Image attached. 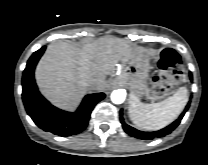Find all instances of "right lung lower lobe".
I'll return each instance as SVG.
<instances>
[{"mask_svg": "<svg viewBox=\"0 0 208 165\" xmlns=\"http://www.w3.org/2000/svg\"><path fill=\"white\" fill-rule=\"evenodd\" d=\"M46 46L33 53L27 62L22 77V99L25 109L34 123L41 129L60 136H70L83 131L90 119L94 106L104 93L87 95L75 112H66L51 105L38 91L34 79L37 62Z\"/></svg>", "mask_w": 208, "mask_h": 165, "instance_id": "right-lung-lower-lobe-1", "label": "right lung lower lobe"}]
</instances>
